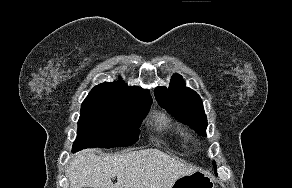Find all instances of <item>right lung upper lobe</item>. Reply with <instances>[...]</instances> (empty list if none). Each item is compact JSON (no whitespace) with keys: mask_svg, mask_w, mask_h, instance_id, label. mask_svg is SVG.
<instances>
[{"mask_svg":"<svg viewBox=\"0 0 292 188\" xmlns=\"http://www.w3.org/2000/svg\"><path fill=\"white\" fill-rule=\"evenodd\" d=\"M94 89H103V90L121 92V93L128 94L137 100L152 102V98L149 95L148 90H143L140 87H128L122 81H117L114 83H103V84L95 86Z\"/></svg>","mask_w":292,"mask_h":188,"instance_id":"right-lung-upper-lobe-1","label":"right lung upper lobe"}]
</instances>
